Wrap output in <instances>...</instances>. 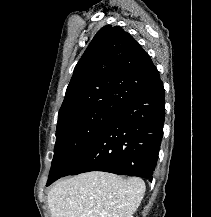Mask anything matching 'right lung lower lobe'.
<instances>
[{"label":"right lung lower lobe","instance_id":"98d812e1","mask_svg":"<svg viewBox=\"0 0 211 217\" xmlns=\"http://www.w3.org/2000/svg\"><path fill=\"white\" fill-rule=\"evenodd\" d=\"M164 94L160 80L130 99L61 177L105 171L151 181L163 134ZM57 179L48 180L47 186Z\"/></svg>","mask_w":211,"mask_h":217}]
</instances>
